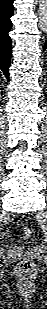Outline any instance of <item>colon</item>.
I'll return each instance as SVG.
<instances>
[{"mask_svg":"<svg viewBox=\"0 0 47 309\" xmlns=\"http://www.w3.org/2000/svg\"><path fill=\"white\" fill-rule=\"evenodd\" d=\"M22 235L24 238H29L31 236V229L24 227L22 230ZM22 274H29L34 270V263L30 260H23L18 267Z\"/></svg>","mask_w":47,"mask_h":309,"instance_id":"5ec220e1","label":"colon"}]
</instances>
